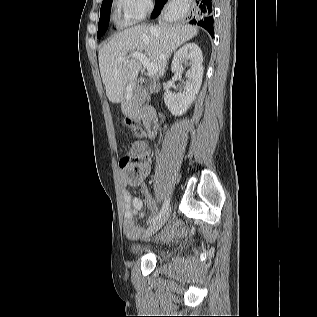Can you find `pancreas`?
<instances>
[{
    "label": "pancreas",
    "mask_w": 317,
    "mask_h": 317,
    "mask_svg": "<svg viewBox=\"0 0 317 317\" xmlns=\"http://www.w3.org/2000/svg\"><path fill=\"white\" fill-rule=\"evenodd\" d=\"M143 103V99L141 96L137 95L136 97L132 98V102L129 103L130 107H132V112L137 114L139 107Z\"/></svg>",
    "instance_id": "pancreas-1"
}]
</instances>
